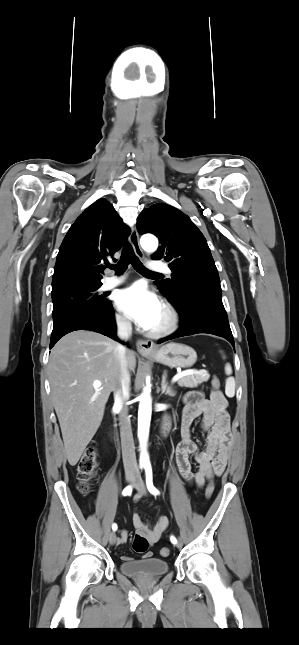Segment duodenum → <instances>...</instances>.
<instances>
[{
    "mask_svg": "<svg viewBox=\"0 0 299 645\" xmlns=\"http://www.w3.org/2000/svg\"><path fill=\"white\" fill-rule=\"evenodd\" d=\"M169 429H170V423L166 419L162 424V433L165 435L169 431Z\"/></svg>",
    "mask_w": 299,
    "mask_h": 645,
    "instance_id": "obj_1",
    "label": "duodenum"
}]
</instances>
